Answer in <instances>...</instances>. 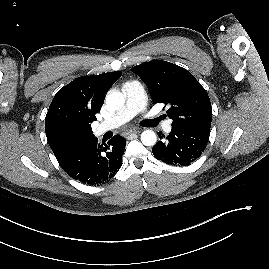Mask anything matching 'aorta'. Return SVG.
Returning a JSON list of instances; mask_svg holds the SVG:
<instances>
[{"label":"aorta","mask_w":269,"mask_h":269,"mask_svg":"<svg viewBox=\"0 0 269 269\" xmlns=\"http://www.w3.org/2000/svg\"><path fill=\"white\" fill-rule=\"evenodd\" d=\"M125 98L119 91H110L106 95V104L112 109H120L124 106ZM141 141L145 146H153L157 141V136L152 130H145L141 134Z\"/></svg>","instance_id":"1"}]
</instances>
